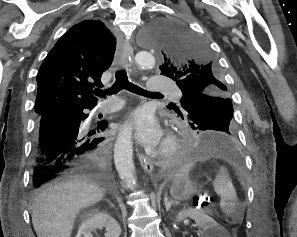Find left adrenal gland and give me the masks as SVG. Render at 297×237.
Wrapping results in <instances>:
<instances>
[{
  "label": "left adrenal gland",
  "mask_w": 297,
  "mask_h": 237,
  "mask_svg": "<svg viewBox=\"0 0 297 237\" xmlns=\"http://www.w3.org/2000/svg\"><path fill=\"white\" fill-rule=\"evenodd\" d=\"M175 204H177V203L175 201H173V200L168 201V197H167V195H165L164 205L166 207V211H169L171 206H174Z\"/></svg>",
  "instance_id": "1"
}]
</instances>
